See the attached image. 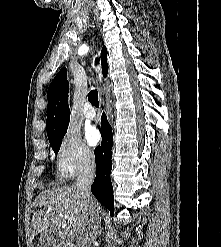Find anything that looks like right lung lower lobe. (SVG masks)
Masks as SVG:
<instances>
[{
  "mask_svg": "<svg viewBox=\"0 0 221 247\" xmlns=\"http://www.w3.org/2000/svg\"><path fill=\"white\" fill-rule=\"evenodd\" d=\"M101 132L103 141L95 148L96 178L91 186L93 195L114 214L113 186L110 179L112 169L111 150L113 146L112 128L106 115L101 118Z\"/></svg>",
  "mask_w": 221,
  "mask_h": 247,
  "instance_id": "obj_1",
  "label": "right lung lower lobe"
}]
</instances>
